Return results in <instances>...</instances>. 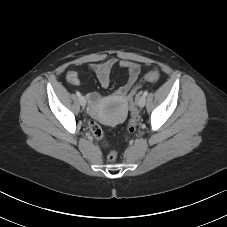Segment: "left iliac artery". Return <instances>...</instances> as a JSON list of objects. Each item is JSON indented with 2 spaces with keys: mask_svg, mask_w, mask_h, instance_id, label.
<instances>
[{
  "mask_svg": "<svg viewBox=\"0 0 227 227\" xmlns=\"http://www.w3.org/2000/svg\"><path fill=\"white\" fill-rule=\"evenodd\" d=\"M148 95V91H144L143 96L146 97Z\"/></svg>",
  "mask_w": 227,
  "mask_h": 227,
  "instance_id": "44dca946",
  "label": "left iliac artery"
}]
</instances>
